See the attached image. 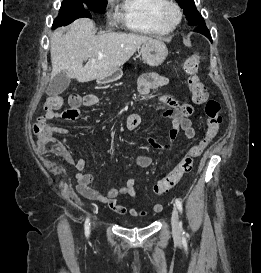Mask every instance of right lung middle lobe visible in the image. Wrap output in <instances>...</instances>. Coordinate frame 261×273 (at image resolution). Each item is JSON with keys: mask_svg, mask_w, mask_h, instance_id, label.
Returning <instances> with one entry per match:
<instances>
[{"mask_svg": "<svg viewBox=\"0 0 261 273\" xmlns=\"http://www.w3.org/2000/svg\"><path fill=\"white\" fill-rule=\"evenodd\" d=\"M107 0H64L61 4L58 17L54 20L53 28L67 25L81 17L91 18L90 11L102 13L106 8Z\"/></svg>", "mask_w": 261, "mask_h": 273, "instance_id": "obj_1", "label": "right lung middle lobe"}]
</instances>
